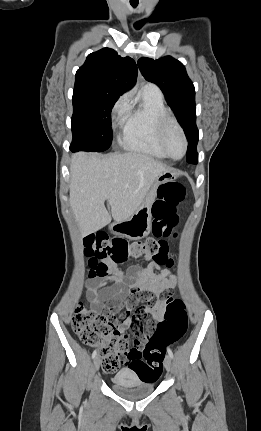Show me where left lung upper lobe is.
Masks as SVG:
<instances>
[{
    "label": "left lung upper lobe",
    "mask_w": 261,
    "mask_h": 431,
    "mask_svg": "<svg viewBox=\"0 0 261 431\" xmlns=\"http://www.w3.org/2000/svg\"><path fill=\"white\" fill-rule=\"evenodd\" d=\"M138 66L145 79L155 83L164 93L188 139L186 160L196 164L199 132L196 127L195 88L185 67L170 56L158 60L144 57L138 60Z\"/></svg>",
    "instance_id": "1"
}]
</instances>
